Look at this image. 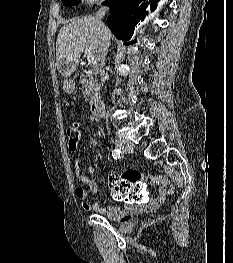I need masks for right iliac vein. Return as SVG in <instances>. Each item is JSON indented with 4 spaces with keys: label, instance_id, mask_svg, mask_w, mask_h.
<instances>
[{
    "label": "right iliac vein",
    "instance_id": "obj_1",
    "mask_svg": "<svg viewBox=\"0 0 233 263\" xmlns=\"http://www.w3.org/2000/svg\"><path fill=\"white\" fill-rule=\"evenodd\" d=\"M115 145L119 150L126 152V153L133 152L134 150L133 144H131L130 142L126 140H116Z\"/></svg>",
    "mask_w": 233,
    "mask_h": 263
}]
</instances>
